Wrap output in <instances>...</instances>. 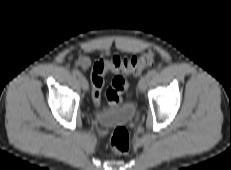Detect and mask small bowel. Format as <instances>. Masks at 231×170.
<instances>
[{
	"label": "small bowel",
	"mask_w": 231,
	"mask_h": 170,
	"mask_svg": "<svg viewBox=\"0 0 231 170\" xmlns=\"http://www.w3.org/2000/svg\"><path fill=\"white\" fill-rule=\"evenodd\" d=\"M70 61H72L77 67H79L82 70H87L90 65H91V61L89 59L88 56L86 55H71L69 57Z\"/></svg>",
	"instance_id": "1"
}]
</instances>
